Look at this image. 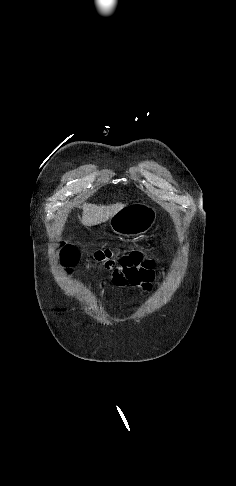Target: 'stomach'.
I'll list each match as a JSON object with an SVG mask.
<instances>
[{
	"mask_svg": "<svg viewBox=\"0 0 236 486\" xmlns=\"http://www.w3.org/2000/svg\"><path fill=\"white\" fill-rule=\"evenodd\" d=\"M156 209L145 203H134L123 207L109 221L111 229L123 236H138L146 233L155 223Z\"/></svg>",
	"mask_w": 236,
	"mask_h": 486,
	"instance_id": "obj_1",
	"label": "stomach"
}]
</instances>
